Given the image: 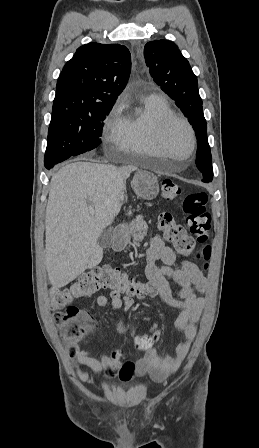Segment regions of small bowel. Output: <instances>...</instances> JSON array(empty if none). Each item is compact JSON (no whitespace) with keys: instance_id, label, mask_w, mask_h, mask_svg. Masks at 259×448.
Listing matches in <instances>:
<instances>
[{"instance_id":"c3829d8e","label":"small bowel","mask_w":259,"mask_h":448,"mask_svg":"<svg viewBox=\"0 0 259 448\" xmlns=\"http://www.w3.org/2000/svg\"><path fill=\"white\" fill-rule=\"evenodd\" d=\"M158 260L162 261L163 266L156 265ZM175 262V251L166 245L160 235H156L147 252L146 275L161 299L180 311L175 326L183 333L182 343L165 353L151 348L137 362H123L120 352H114L111 355L101 354L96 358L91 351L82 349L77 344H68V356L80 365L99 374L107 386L114 379L128 382L135 376L145 374L150 375L154 380L162 381L174 373L186 357L196 336V323L205 304L204 299L198 293H204L207 287L206 277L194 262L183 260L179 267H175ZM170 282L177 288L176 296L173 295ZM96 302L100 307L122 309L124 316L119 321L117 329L120 332L128 331L131 336L135 335L134 330L127 325L125 320V315L134 305L131 296L100 295ZM151 330L160 333L158 325L155 323L152 324ZM77 375L83 382L89 380L87 372L77 369Z\"/></svg>"}]
</instances>
